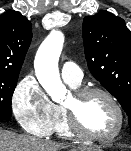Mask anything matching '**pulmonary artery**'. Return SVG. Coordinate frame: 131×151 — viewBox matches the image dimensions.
<instances>
[{
    "instance_id": "e3ab8cb5",
    "label": "pulmonary artery",
    "mask_w": 131,
    "mask_h": 151,
    "mask_svg": "<svg viewBox=\"0 0 131 151\" xmlns=\"http://www.w3.org/2000/svg\"><path fill=\"white\" fill-rule=\"evenodd\" d=\"M61 75L65 82L80 84L83 78L82 70L72 61H67L61 68Z\"/></svg>"
}]
</instances>
